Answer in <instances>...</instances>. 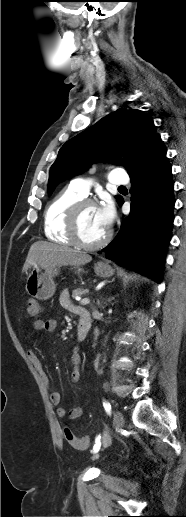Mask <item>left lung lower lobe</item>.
Listing matches in <instances>:
<instances>
[{
    "instance_id": "1",
    "label": "left lung lower lobe",
    "mask_w": 186,
    "mask_h": 517,
    "mask_svg": "<svg viewBox=\"0 0 186 517\" xmlns=\"http://www.w3.org/2000/svg\"><path fill=\"white\" fill-rule=\"evenodd\" d=\"M128 174L132 183L130 214L103 251L118 265L160 283L175 204L171 165L161 139Z\"/></svg>"
}]
</instances>
